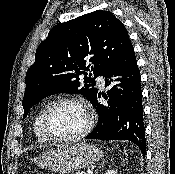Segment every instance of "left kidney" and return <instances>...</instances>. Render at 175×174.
Returning a JSON list of instances; mask_svg holds the SVG:
<instances>
[{"instance_id": "1", "label": "left kidney", "mask_w": 175, "mask_h": 174, "mask_svg": "<svg viewBox=\"0 0 175 174\" xmlns=\"http://www.w3.org/2000/svg\"><path fill=\"white\" fill-rule=\"evenodd\" d=\"M105 174H117V171L110 169V170L106 171Z\"/></svg>"}]
</instances>
